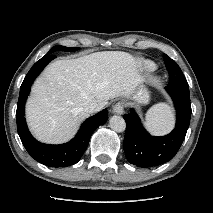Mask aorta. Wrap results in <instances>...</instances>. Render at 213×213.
<instances>
[{
  "instance_id": "1",
  "label": "aorta",
  "mask_w": 213,
  "mask_h": 213,
  "mask_svg": "<svg viewBox=\"0 0 213 213\" xmlns=\"http://www.w3.org/2000/svg\"><path fill=\"white\" fill-rule=\"evenodd\" d=\"M109 124L110 128L116 132H123L126 129V122L121 116H112Z\"/></svg>"
}]
</instances>
